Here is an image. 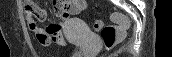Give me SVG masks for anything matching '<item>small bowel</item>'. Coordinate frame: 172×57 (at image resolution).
I'll return each mask as SVG.
<instances>
[{
  "mask_svg": "<svg viewBox=\"0 0 172 57\" xmlns=\"http://www.w3.org/2000/svg\"><path fill=\"white\" fill-rule=\"evenodd\" d=\"M28 4L36 6L34 1H24L25 9ZM55 7V16L59 18L60 23L51 22L46 26H41L37 23L43 22L46 19V11L39 9V13L36 15L26 14V21L30 30L35 34L38 42L43 46H50L52 44L66 45V40L62 36V30L66 27L67 18L71 14H77L85 7V1L83 0H56L53 2Z\"/></svg>",
  "mask_w": 172,
  "mask_h": 57,
  "instance_id": "c3829d8e",
  "label": "small bowel"
}]
</instances>
